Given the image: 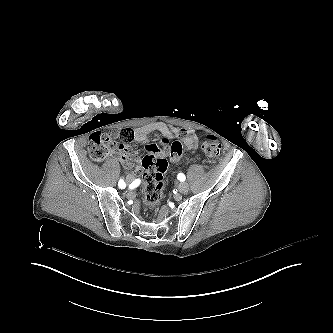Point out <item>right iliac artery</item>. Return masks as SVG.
<instances>
[{
  "label": "right iliac artery",
  "instance_id": "82829eb1",
  "mask_svg": "<svg viewBox=\"0 0 333 333\" xmlns=\"http://www.w3.org/2000/svg\"><path fill=\"white\" fill-rule=\"evenodd\" d=\"M119 187L121 188V189H124L125 187H126V184H125V182L121 179L120 181H119Z\"/></svg>",
  "mask_w": 333,
  "mask_h": 333
}]
</instances>
